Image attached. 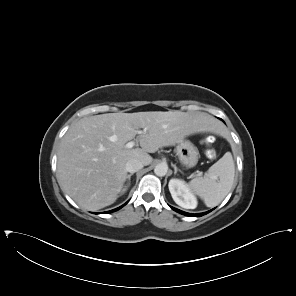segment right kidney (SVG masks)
<instances>
[{
	"mask_svg": "<svg viewBox=\"0 0 296 296\" xmlns=\"http://www.w3.org/2000/svg\"><path fill=\"white\" fill-rule=\"evenodd\" d=\"M124 191H126V188H124V189L122 190V193H124Z\"/></svg>",
	"mask_w": 296,
	"mask_h": 296,
	"instance_id": "right-kidney-1",
	"label": "right kidney"
}]
</instances>
